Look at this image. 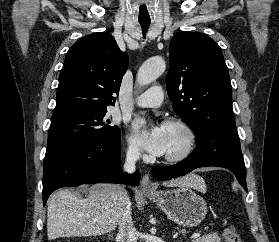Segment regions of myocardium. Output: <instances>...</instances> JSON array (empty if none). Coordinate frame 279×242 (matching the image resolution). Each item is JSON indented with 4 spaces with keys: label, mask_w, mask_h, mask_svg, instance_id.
<instances>
[{
    "label": "myocardium",
    "mask_w": 279,
    "mask_h": 242,
    "mask_svg": "<svg viewBox=\"0 0 279 242\" xmlns=\"http://www.w3.org/2000/svg\"><path fill=\"white\" fill-rule=\"evenodd\" d=\"M165 126L177 127L184 135V145L176 153L165 154L164 160L169 163H179L187 159L193 152L196 145V133L194 129L183 119L173 118L165 122Z\"/></svg>",
    "instance_id": "1"
}]
</instances>
